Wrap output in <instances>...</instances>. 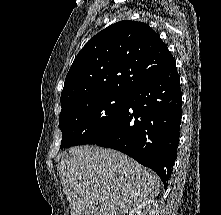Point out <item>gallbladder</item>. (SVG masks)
Returning <instances> with one entry per match:
<instances>
[{
	"label": "gallbladder",
	"instance_id": "obj_1",
	"mask_svg": "<svg viewBox=\"0 0 221 215\" xmlns=\"http://www.w3.org/2000/svg\"><path fill=\"white\" fill-rule=\"evenodd\" d=\"M83 215H99V208L93 206L92 208L85 210Z\"/></svg>",
	"mask_w": 221,
	"mask_h": 215
}]
</instances>
